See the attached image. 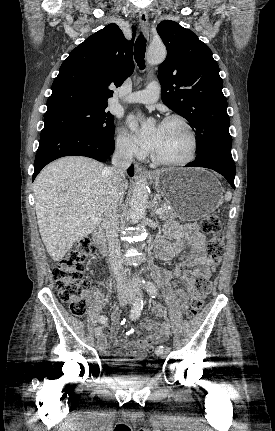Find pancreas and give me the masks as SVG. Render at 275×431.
Segmentation results:
<instances>
[{"label":"pancreas","mask_w":275,"mask_h":431,"mask_svg":"<svg viewBox=\"0 0 275 431\" xmlns=\"http://www.w3.org/2000/svg\"><path fill=\"white\" fill-rule=\"evenodd\" d=\"M168 207L169 206L166 203L161 204V208L163 209V213L161 214L162 219H168V218H175L176 217V213L172 210H169Z\"/></svg>","instance_id":"pancreas-1"}]
</instances>
